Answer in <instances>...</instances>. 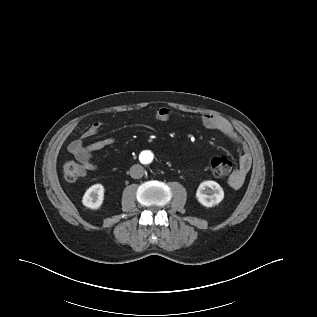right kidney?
Wrapping results in <instances>:
<instances>
[{"instance_id":"right-kidney-1","label":"right kidney","mask_w":317,"mask_h":317,"mask_svg":"<svg viewBox=\"0 0 317 317\" xmlns=\"http://www.w3.org/2000/svg\"><path fill=\"white\" fill-rule=\"evenodd\" d=\"M104 200V187L101 184H95L86 190L82 203L90 209H98Z\"/></svg>"}]
</instances>
